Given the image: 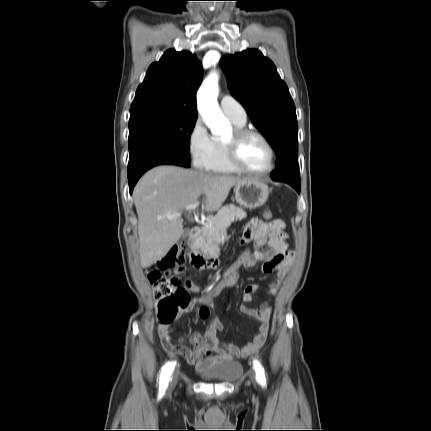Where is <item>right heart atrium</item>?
Returning <instances> with one entry per match:
<instances>
[{
    "label": "right heart atrium",
    "instance_id": "1",
    "mask_svg": "<svg viewBox=\"0 0 431 431\" xmlns=\"http://www.w3.org/2000/svg\"><path fill=\"white\" fill-rule=\"evenodd\" d=\"M188 153L193 166L210 171L217 153V142L209 134L200 118H197L187 136Z\"/></svg>",
    "mask_w": 431,
    "mask_h": 431
}]
</instances>
